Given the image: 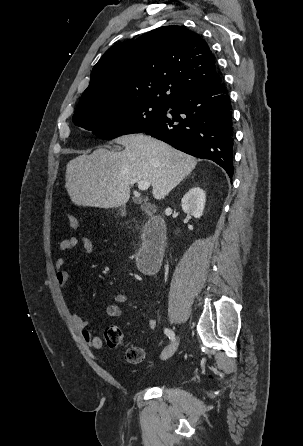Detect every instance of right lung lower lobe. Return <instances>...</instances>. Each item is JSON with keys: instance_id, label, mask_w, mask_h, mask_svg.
Instances as JSON below:
<instances>
[{"instance_id": "right-lung-lower-lobe-1", "label": "right lung lower lobe", "mask_w": 303, "mask_h": 446, "mask_svg": "<svg viewBox=\"0 0 303 446\" xmlns=\"http://www.w3.org/2000/svg\"><path fill=\"white\" fill-rule=\"evenodd\" d=\"M170 109L143 132L187 154L216 162L231 177L234 129L224 81L186 93Z\"/></svg>"}]
</instances>
